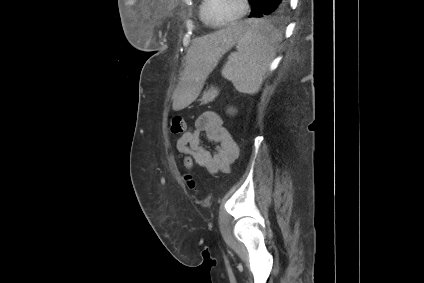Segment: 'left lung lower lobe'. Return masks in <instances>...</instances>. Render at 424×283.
Instances as JSON below:
<instances>
[{"label":"left lung lower lobe","instance_id":"1","mask_svg":"<svg viewBox=\"0 0 424 283\" xmlns=\"http://www.w3.org/2000/svg\"><path fill=\"white\" fill-rule=\"evenodd\" d=\"M289 0H258L255 11L249 17L265 18L278 10H285Z\"/></svg>","mask_w":424,"mask_h":283}]
</instances>
